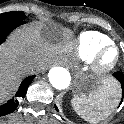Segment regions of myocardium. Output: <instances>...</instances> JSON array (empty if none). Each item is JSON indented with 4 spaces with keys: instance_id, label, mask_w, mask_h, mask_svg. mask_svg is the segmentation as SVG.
Returning a JSON list of instances; mask_svg holds the SVG:
<instances>
[{
    "instance_id": "obj_1",
    "label": "myocardium",
    "mask_w": 124,
    "mask_h": 124,
    "mask_svg": "<svg viewBox=\"0 0 124 124\" xmlns=\"http://www.w3.org/2000/svg\"><path fill=\"white\" fill-rule=\"evenodd\" d=\"M110 50L116 51V58L112 63L106 64L104 63V57ZM122 56H123L122 51L116 44L112 42L106 44L99 48L98 51L93 56V58L91 59V69L96 75L99 76L108 75L118 67L122 59Z\"/></svg>"
}]
</instances>
